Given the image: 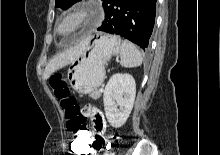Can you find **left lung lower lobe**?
Returning a JSON list of instances; mask_svg holds the SVG:
<instances>
[{"label": "left lung lower lobe", "mask_w": 220, "mask_h": 155, "mask_svg": "<svg viewBox=\"0 0 220 155\" xmlns=\"http://www.w3.org/2000/svg\"><path fill=\"white\" fill-rule=\"evenodd\" d=\"M99 31L120 35L146 49L155 22L156 0H103Z\"/></svg>", "instance_id": "obj_1"}]
</instances>
